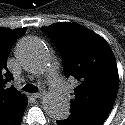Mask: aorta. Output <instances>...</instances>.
<instances>
[{"instance_id":"obj_1","label":"aorta","mask_w":125,"mask_h":125,"mask_svg":"<svg viewBox=\"0 0 125 125\" xmlns=\"http://www.w3.org/2000/svg\"><path fill=\"white\" fill-rule=\"evenodd\" d=\"M16 55L22 66L34 74H43L49 62L48 48L37 37L22 39L17 45ZM42 105L47 115L57 120L66 119L70 114V105L67 99L58 93H46Z\"/></svg>"}]
</instances>
